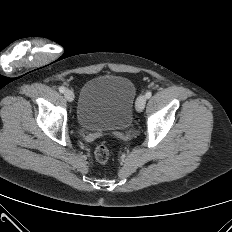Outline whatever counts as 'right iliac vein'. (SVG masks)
Listing matches in <instances>:
<instances>
[{
	"label": "right iliac vein",
	"instance_id": "1",
	"mask_svg": "<svg viewBox=\"0 0 232 232\" xmlns=\"http://www.w3.org/2000/svg\"><path fill=\"white\" fill-rule=\"evenodd\" d=\"M64 97L67 101L72 102L74 100V93L71 90H66L64 92Z\"/></svg>",
	"mask_w": 232,
	"mask_h": 232
}]
</instances>
